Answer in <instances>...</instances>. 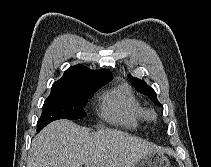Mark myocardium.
Returning <instances> with one entry per match:
<instances>
[{"instance_id":"1","label":"myocardium","mask_w":211,"mask_h":167,"mask_svg":"<svg viewBox=\"0 0 211 167\" xmlns=\"http://www.w3.org/2000/svg\"><path fill=\"white\" fill-rule=\"evenodd\" d=\"M147 116L150 119H154L156 117V113L153 110H149L148 113H147Z\"/></svg>"}]
</instances>
